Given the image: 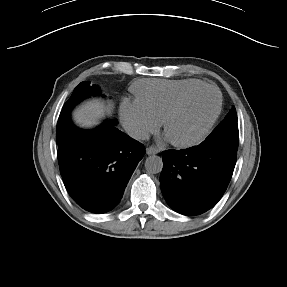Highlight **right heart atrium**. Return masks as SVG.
<instances>
[{"label": "right heart atrium", "instance_id": "d8ad5b80", "mask_svg": "<svg viewBox=\"0 0 287 287\" xmlns=\"http://www.w3.org/2000/svg\"><path fill=\"white\" fill-rule=\"evenodd\" d=\"M119 112L124 127L137 139L147 138L156 132L161 125V121L137 99L123 100Z\"/></svg>", "mask_w": 287, "mask_h": 287}]
</instances>
